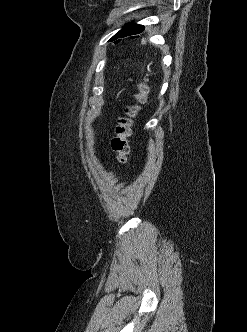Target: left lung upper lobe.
<instances>
[{
  "mask_svg": "<svg viewBox=\"0 0 247 332\" xmlns=\"http://www.w3.org/2000/svg\"><path fill=\"white\" fill-rule=\"evenodd\" d=\"M117 35H118V33L115 36H113L111 40L117 39L118 38Z\"/></svg>",
  "mask_w": 247,
  "mask_h": 332,
  "instance_id": "obj_1",
  "label": "left lung upper lobe"
}]
</instances>
